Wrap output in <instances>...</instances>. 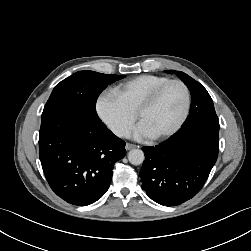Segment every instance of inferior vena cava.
Here are the masks:
<instances>
[{
	"label": "inferior vena cava",
	"instance_id": "inferior-vena-cava-1",
	"mask_svg": "<svg viewBox=\"0 0 251 251\" xmlns=\"http://www.w3.org/2000/svg\"><path fill=\"white\" fill-rule=\"evenodd\" d=\"M113 133L119 137L123 138H129L130 137V131L128 129H125L123 127H114L112 129Z\"/></svg>",
	"mask_w": 251,
	"mask_h": 251
}]
</instances>
